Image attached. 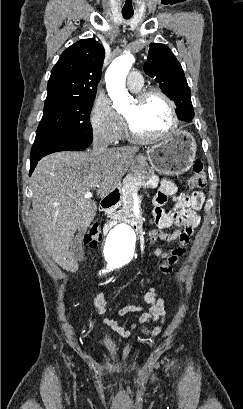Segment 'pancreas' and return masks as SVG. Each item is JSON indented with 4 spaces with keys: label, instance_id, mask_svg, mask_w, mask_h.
I'll list each match as a JSON object with an SVG mask.
<instances>
[{
    "label": "pancreas",
    "instance_id": "1",
    "mask_svg": "<svg viewBox=\"0 0 243 409\" xmlns=\"http://www.w3.org/2000/svg\"><path fill=\"white\" fill-rule=\"evenodd\" d=\"M145 179L146 176L144 172L130 173L124 178L120 204L107 212L109 218L125 219L134 217L133 194H137L140 188L145 185Z\"/></svg>",
    "mask_w": 243,
    "mask_h": 409
}]
</instances>
